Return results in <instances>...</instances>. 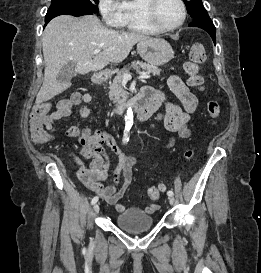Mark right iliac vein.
Returning a JSON list of instances; mask_svg holds the SVG:
<instances>
[{"mask_svg": "<svg viewBox=\"0 0 261 273\" xmlns=\"http://www.w3.org/2000/svg\"><path fill=\"white\" fill-rule=\"evenodd\" d=\"M99 209H100L99 204H98V203L95 204V205H94V212H95L96 214L99 212Z\"/></svg>", "mask_w": 261, "mask_h": 273, "instance_id": "obj_1", "label": "right iliac vein"}]
</instances>
